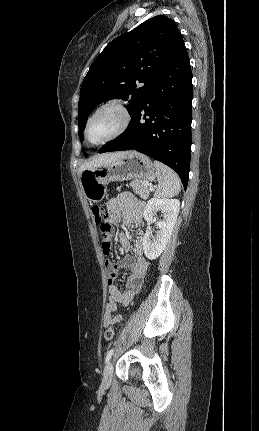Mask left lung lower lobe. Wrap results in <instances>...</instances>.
<instances>
[{
	"label": "left lung lower lobe",
	"mask_w": 259,
	"mask_h": 431,
	"mask_svg": "<svg viewBox=\"0 0 259 431\" xmlns=\"http://www.w3.org/2000/svg\"><path fill=\"white\" fill-rule=\"evenodd\" d=\"M192 72L185 44L159 73L127 129L102 151L137 150L176 171L186 189L190 170Z\"/></svg>",
	"instance_id": "left-lung-lower-lobe-1"
}]
</instances>
